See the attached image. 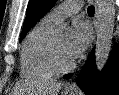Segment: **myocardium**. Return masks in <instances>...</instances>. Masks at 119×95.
Wrapping results in <instances>:
<instances>
[{
    "instance_id": "1",
    "label": "myocardium",
    "mask_w": 119,
    "mask_h": 95,
    "mask_svg": "<svg viewBox=\"0 0 119 95\" xmlns=\"http://www.w3.org/2000/svg\"><path fill=\"white\" fill-rule=\"evenodd\" d=\"M51 63L55 71L66 72L71 70L75 66V62L72 60L70 62H64L60 58L58 48L55 39L52 40L51 50H50Z\"/></svg>"
}]
</instances>
